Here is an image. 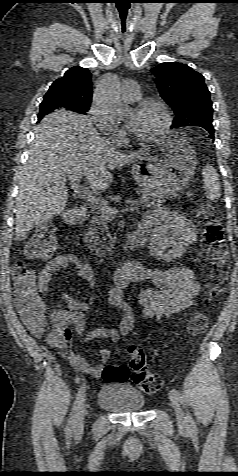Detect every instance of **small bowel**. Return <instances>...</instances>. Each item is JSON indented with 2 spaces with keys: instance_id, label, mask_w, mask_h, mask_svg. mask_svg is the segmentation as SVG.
Wrapping results in <instances>:
<instances>
[{
  "instance_id": "small-bowel-1",
  "label": "small bowel",
  "mask_w": 238,
  "mask_h": 476,
  "mask_svg": "<svg viewBox=\"0 0 238 476\" xmlns=\"http://www.w3.org/2000/svg\"><path fill=\"white\" fill-rule=\"evenodd\" d=\"M140 229L150 235L151 254L163 261L171 262L183 256L188 248L195 243L197 231L193 223L185 216L165 209L148 212L144 215ZM134 269H119L114 274V286L110 289L107 304L122 311L118 328H100L84 335L86 318L84 313L90 310L97 296V280L92 265L85 259L74 254H60L48 260L38 273V293H50V284L54 274L63 269H70L76 276L87 281L91 294L86 300L80 301L68 291L62 292L67 308L49 314L53 333L60 334L55 347L61 356L82 372L93 378H99L104 365L111 357L107 348L100 349V362L91 364L82 352L72 349V337L75 333L83 336L86 342L108 338L117 342L121 337L129 335L137 324V316L125 298L124 291L132 282L149 280L155 288L141 291L138 300L142 307V318L150 320L173 316L192 306L199 294L200 286L194 278L193 271L185 266H175L166 270L146 268L138 263ZM42 301V300H41ZM45 310L46 304L42 301Z\"/></svg>"
}]
</instances>
